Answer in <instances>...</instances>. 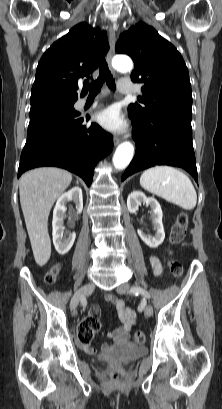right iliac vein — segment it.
Listing matches in <instances>:
<instances>
[{"mask_svg":"<svg viewBox=\"0 0 222 409\" xmlns=\"http://www.w3.org/2000/svg\"><path fill=\"white\" fill-rule=\"evenodd\" d=\"M95 289L94 283H88L80 288L72 297L70 302V309L75 311L81 299L91 294Z\"/></svg>","mask_w":222,"mask_h":409,"instance_id":"obj_1","label":"right iliac vein"}]
</instances>
